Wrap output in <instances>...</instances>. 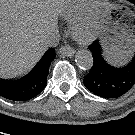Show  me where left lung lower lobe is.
I'll use <instances>...</instances> for the list:
<instances>
[{
	"label": "left lung lower lobe",
	"instance_id": "obj_1",
	"mask_svg": "<svg viewBox=\"0 0 135 135\" xmlns=\"http://www.w3.org/2000/svg\"><path fill=\"white\" fill-rule=\"evenodd\" d=\"M135 5V0L129 1ZM94 63L84 77L85 87L97 96L117 98L125 94L135 84V56L131 63L123 68L109 65L101 54L98 41L89 45Z\"/></svg>",
	"mask_w": 135,
	"mask_h": 135
}]
</instances>
